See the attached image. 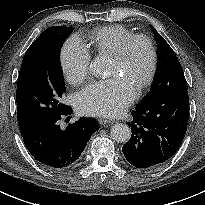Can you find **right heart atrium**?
Listing matches in <instances>:
<instances>
[{"label":"right heart atrium","mask_w":205,"mask_h":205,"mask_svg":"<svg viewBox=\"0 0 205 205\" xmlns=\"http://www.w3.org/2000/svg\"><path fill=\"white\" fill-rule=\"evenodd\" d=\"M91 54L82 39L69 37L60 50V65L64 76L71 84H80L88 78Z\"/></svg>","instance_id":"obj_1"}]
</instances>
